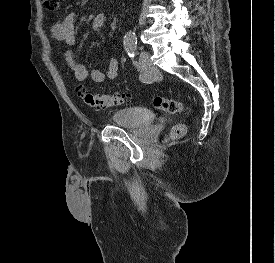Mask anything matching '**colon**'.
Here are the masks:
<instances>
[{"instance_id": "colon-1", "label": "colon", "mask_w": 275, "mask_h": 263, "mask_svg": "<svg viewBox=\"0 0 275 263\" xmlns=\"http://www.w3.org/2000/svg\"><path fill=\"white\" fill-rule=\"evenodd\" d=\"M59 3L60 0H43L44 6L50 11L57 10ZM76 92L85 104L94 108L105 109L117 107L126 104L131 100V95L125 93L93 94L81 87L77 88ZM154 106L167 114H177L182 112L184 109L182 101L164 97H156L154 99ZM186 130L187 126L184 123L174 125L170 130L169 139L175 140L182 137L186 133Z\"/></svg>"}]
</instances>
